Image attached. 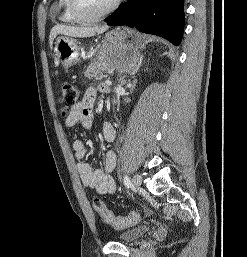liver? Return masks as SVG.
I'll use <instances>...</instances> for the list:
<instances>
[{"mask_svg": "<svg viewBox=\"0 0 247 257\" xmlns=\"http://www.w3.org/2000/svg\"><path fill=\"white\" fill-rule=\"evenodd\" d=\"M108 29V26H101V27H75V26H68V25H55L50 33V46L53 44V39L58 35L62 34L65 36L70 37H91L96 33H103Z\"/></svg>", "mask_w": 247, "mask_h": 257, "instance_id": "liver-1", "label": "liver"}]
</instances>
